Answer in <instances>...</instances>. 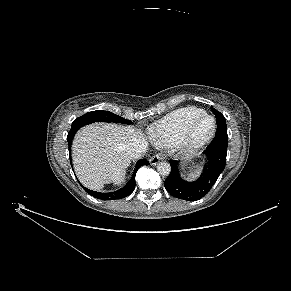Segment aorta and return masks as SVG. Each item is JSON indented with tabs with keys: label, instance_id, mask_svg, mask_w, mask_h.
I'll return each instance as SVG.
<instances>
[{
	"label": "aorta",
	"instance_id": "1",
	"mask_svg": "<svg viewBox=\"0 0 291 291\" xmlns=\"http://www.w3.org/2000/svg\"><path fill=\"white\" fill-rule=\"evenodd\" d=\"M157 171L159 174L167 176L170 174L171 167L170 164L167 162H160L157 164Z\"/></svg>",
	"mask_w": 291,
	"mask_h": 291
}]
</instances>
